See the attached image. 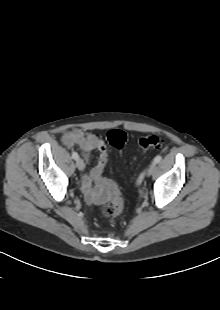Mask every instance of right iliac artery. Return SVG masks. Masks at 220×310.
Masks as SVG:
<instances>
[{"instance_id":"right-iliac-artery-1","label":"right iliac artery","mask_w":220,"mask_h":310,"mask_svg":"<svg viewBox=\"0 0 220 310\" xmlns=\"http://www.w3.org/2000/svg\"><path fill=\"white\" fill-rule=\"evenodd\" d=\"M72 158L75 159V160H77V159L79 158L78 153H77V152H73V153H72Z\"/></svg>"}]
</instances>
